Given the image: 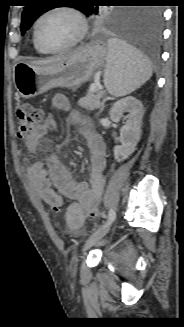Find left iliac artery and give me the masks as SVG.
<instances>
[{"instance_id":"44dca946","label":"left iliac artery","mask_w":184,"mask_h":327,"mask_svg":"<svg viewBox=\"0 0 184 327\" xmlns=\"http://www.w3.org/2000/svg\"><path fill=\"white\" fill-rule=\"evenodd\" d=\"M115 217H116L115 210L114 209H110L109 214H108V220H107L105 226L108 225V224H110V223H112L115 220Z\"/></svg>"}]
</instances>
